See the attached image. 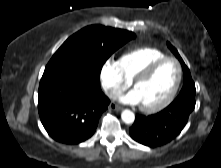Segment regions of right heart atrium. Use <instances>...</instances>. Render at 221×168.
Segmentation results:
<instances>
[{"instance_id": "right-heart-atrium-1", "label": "right heart atrium", "mask_w": 221, "mask_h": 168, "mask_svg": "<svg viewBox=\"0 0 221 168\" xmlns=\"http://www.w3.org/2000/svg\"><path fill=\"white\" fill-rule=\"evenodd\" d=\"M101 86L109 97H115L129 85L123 75L119 62L113 58L104 61L100 69Z\"/></svg>"}]
</instances>
